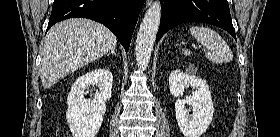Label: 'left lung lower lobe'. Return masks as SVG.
Segmentation results:
<instances>
[{
  "label": "left lung lower lobe",
  "mask_w": 280,
  "mask_h": 137,
  "mask_svg": "<svg viewBox=\"0 0 280 137\" xmlns=\"http://www.w3.org/2000/svg\"><path fill=\"white\" fill-rule=\"evenodd\" d=\"M162 15L156 40L173 27L186 22H202L218 26L235 39V29L227 0H160Z\"/></svg>",
  "instance_id": "1"
}]
</instances>
